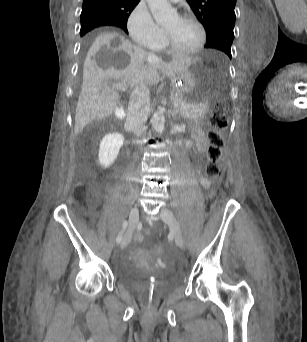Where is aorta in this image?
Masks as SVG:
<instances>
[{"label":"aorta","instance_id":"aorta-1","mask_svg":"<svg viewBox=\"0 0 307 342\" xmlns=\"http://www.w3.org/2000/svg\"><path fill=\"white\" fill-rule=\"evenodd\" d=\"M149 10L157 24L160 26H168L179 20L177 10L172 8L168 0H147ZM155 132H163L165 126L164 108H159L158 112H154L151 120Z\"/></svg>","mask_w":307,"mask_h":342}]
</instances>
